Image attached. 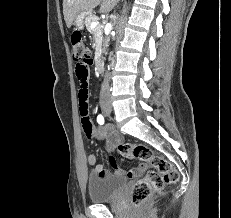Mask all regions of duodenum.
Listing matches in <instances>:
<instances>
[{
    "mask_svg": "<svg viewBox=\"0 0 231 218\" xmlns=\"http://www.w3.org/2000/svg\"><path fill=\"white\" fill-rule=\"evenodd\" d=\"M94 67L96 70H100V67H101V56H100V53H97L94 57Z\"/></svg>",
    "mask_w": 231,
    "mask_h": 218,
    "instance_id": "410a0bca",
    "label": "duodenum"
}]
</instances>
